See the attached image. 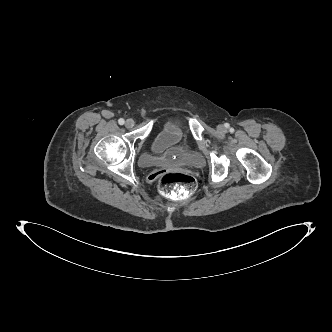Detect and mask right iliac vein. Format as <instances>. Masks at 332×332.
Wrapping results in <instances>:
<instances>
[{
	"label": "right iliac vein",
	"instance_id": "right-iliac-vein-1",
	"mask_svg": "<svg viewBox=\"0 0 332 332\" xmlns=\"http://www.w3.org/2000/svg\"><path fill=\"white\" fill-rule=\"evenodd\" d=\"M135 122L133 119H127L125 122V127L126 128H132L134 126Z\"/></svg>",
	"mask_w": 332,
	"mask_h": 332
}]
</instances>
